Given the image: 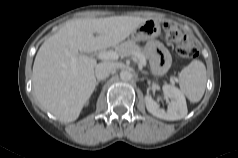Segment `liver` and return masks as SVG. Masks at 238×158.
<instances>
[{
  "mask_svg": "<svg viewBox=\"0 0 238 158\" xmlns=\"http://www.w3.org/2000/svg\"><path fill=\"white\" fill-rule=\"evenodd\" d=\"M146 20L113 16L65 22L41 45L35 57L32 82L41 107L63 122L75 121L96 85V59L79 53L116 46ZM69 53L77 56L75 66Z\"/></svg>",
  "mask_w": 238,
  "mask_h": 158,
  "instance_id": "6515ba94",
  "label": "liver"
}]
</instances>
